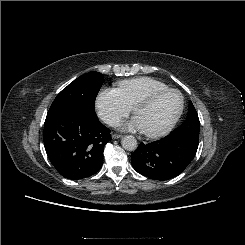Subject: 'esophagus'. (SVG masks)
<instances>
[{"label": "esophagus", "mask_w": 245, "mask_h": 245, "mask_svg": "<svg viewBox=\"0 0 245 245\" xmlns=\"http://www.w3.org/2000/svg\"><path fill=\"white\" fill-rule=\"evenodd\" d=\"M121 137H122V135H120V134H112V139H119Z\"/></svg>", "instance_id": "obj_1"}]
</instances>
